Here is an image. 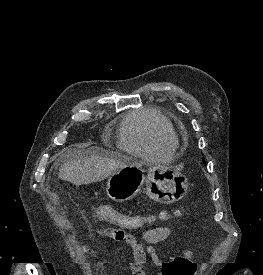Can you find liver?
Masks as SVG:
<instances>
[{
	"mask_svg": "<svg viewBox=\"0 0 263 275\" xmlns=\"http://www.w3.org/2000/svg\"><path fill=\"white\" fill-rule=\"evenodd\" d=\"M130 163L127 156L92 149L68 160L61 167L59 178L76 186L87 185L104 180Z\"/></svg>",
	"mask_w": 263,
	"mask_h": 275,
	"instance_id": "liver-1",
	"label": "liver"
}]
</instances>
